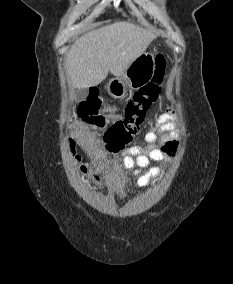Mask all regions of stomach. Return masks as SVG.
<instances>
[{
  "instance_id": "stomach-1",
  "label": "stomach",
  "mask_w": 233,
  "mask_h": 284,
  "mask_svg": "<svg viewBox=\"0 0 233 284\" xmlns=\"http://www.w3.org/2000/svg\"><path fill=\"white\" fill-rule=\"evenodd\" d=\"M154 71V55L149 52L143 53L130 64L121 76L109 81L107 91L114 98H123L128 89H138L147 84Z\"/></svg>"
}]
</instances>
